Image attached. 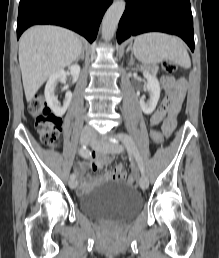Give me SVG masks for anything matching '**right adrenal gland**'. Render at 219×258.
I'll return each mask as SVG.
<instances>
[{
    "instance_id": "1",
    "label": "right adrenal gland",
    "mask_w": 219,
    "mask_h": 258,
    "mask_svg": "<svg viewBox=\"0 0 219 258\" xmlns=\"http://www.w3.org/2000/svg\"><path fill=\"white\" fill-rule=\"evenodd\" d=\"M80 59H84V48L82 49V52L76 61H79Z\"/></svg>"
}]
</instances>
